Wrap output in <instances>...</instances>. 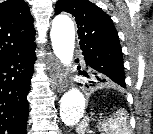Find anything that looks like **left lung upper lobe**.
Segmentation results:
<instances>
[{
    "label": "left lung upper lobe",
    "instance_id": "obj_1",
    "mask_svg": "<svg viewBox=\"0 0 153 134\" xmlns=\"http://www.w3.org/2000/svg\"><path fill=\"white\" fill-rule=\"evenodd\" d=\"M62 11L75 17L86 64L102 74L107 85L125 88L121 46L111 18L89 0H58L55 13Z\"/></svg>",
    "mask_w": 153,
    "mask_h": 134
}]
</instances>
